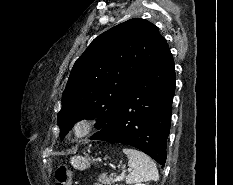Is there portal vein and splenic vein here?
Listing matches in <instances>:
<instances>
[{
    "label": "portal vein and splenic vein",
    "mask_w": 233,
    "mask_h": 185,
    "mask_svg": "<svg viewBox=\"0 0 233 185\" xmlns=\"http://www.w3.org/2000/svg\"><path fill=\"white\" fill-rule=\"evenodd\" d=\"M124 172H122V174L121 175H119V176H116V178H115V180L116 181H120V180H122L123 178H124Z\"/></svg>",
    "instance_id": "1"
}]
</instances>
